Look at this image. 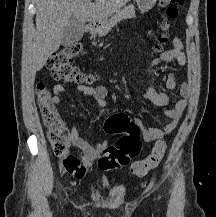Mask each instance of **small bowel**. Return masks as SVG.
<instances>
[{"mask_svg": "<svg viewBox=\"0 0 216 217\" xmlns=\"http://www.w3.org/2000/svg\"><path fill=\"white\" fill-rule=\"evenodd\" d=\"M174 62H177L181 66H184L186 63L183 44L179 38H174L173 48L162 52L157 59L150 63L148 69L154 68L160 64L172 65ZM165 86L168 90H174L176 88L177 82L174 72L168 73ZM65 89L66 87L63 84H58L53 87L55 106L60 104L59 95L62 94ZM78 91L84 96L90 97L98 106L105 107V97L108 93L105 87L80 86L78 87ZM187 95L188 86L186 83H182L180 85L181 98L175 102L173 108H167L172 100L171 95L166 92L157 91L151 86H147L143 93V98L150 101L155 107L161 109L169 118V121L161 128H146L138 118H134V123L140 130L142 140L145 142L157 141L171 134L178 126L186 108ZM68 138L72 145L78 149V159L82 169L81 176L74 175L76 178L82 179L86 172L93 166L95 160L99 158L102 151L107 147V142H88L81 137L75 126L71 128Z\"/></svg>", "mask_w": 216, "mask_h": 217, "instance_id": "c3829d8e", "label": "small bowel"}]
</instances>
